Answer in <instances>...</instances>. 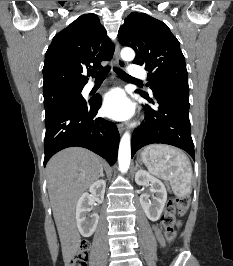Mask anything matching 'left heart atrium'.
<instances>
[{
    "mask_svg": "<svg viewBox=\"0 0 233 266\" xmlns=\"http://www.w3.org/2000/svg\"><path fill=\"white\" fill-rule=\"evenodd\" d=\"M102 111L111 119L126 120L134 113V105L123 89L115 88L104 95Z\"/></svg>",
    "mask_w": 233,
    "mask_h": 266,
    "instance_id": "39dd6f15",
    "label": "left heart atrium"
}]
</instances>
